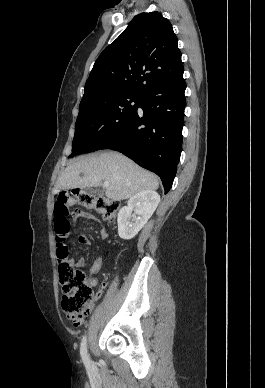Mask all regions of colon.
I'll return each mask as SVG.
<instances>
[{
	"mask_svg": "<svg viewBox=\"0 0 265 388\" xmlns=\"http://www.w3.org/2000/svg\"><path fill=\"white\" fill-rule=\"evenodd\" d=\"M79 202L87 209L97 212L103 219L113 221L120 209L119 202L105 196L87 193L60 191L54 204V229L56 258L59 264V280L63 291L62 308L66 317L77 324L86 315L93 301V292L84 272L75 269L68 262L66 240L71 230L69 205Z\"/></svg>",
	"mask_w": 265,
	"mask_h": 388,
	"instance_id": "5ec220e1",
	"label": "colon"
}]
</instances>
